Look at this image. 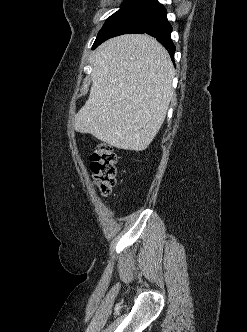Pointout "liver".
<instances>
[{"mask_svg": "<svg viewBox=\"0 0 247 332\" xmlns=\"http://www.w3.org/2000/svg\"><path fill=\"white\" fill-rule=\"evenodd\" d=\"M174 67L153 37L122 35L93 57L92 87L75 130L118 149L142 151L160 130L173 95Z\"/></svg>", "mask_w": 247, "mask_h": 332, "instance_id": "1", "label": "liver"}]
</instances>
